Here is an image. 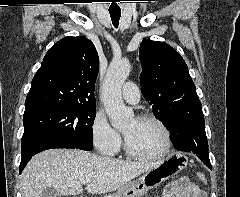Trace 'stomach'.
Listing matches in <instances>:
<instances>
[{"label":"stomach","mask_w":240,"mask_h":197,"mask_svg":"<svg viewBox=\"0 0 240 197\" xmlns=\"http://www.w3.org/2000/svg\"><path fill=\"white\" fill-rule=\"evenodd\" d=\"M187 164L188 158L185 155L172 153L160 165L146 171L140 178L126 183L116 193L105 197H141L147 191L176 175Z\"/></svg>","instance_id":"1"}]
</instances>
